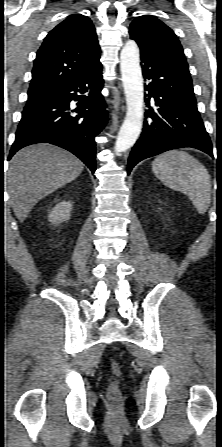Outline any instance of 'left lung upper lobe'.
Listing matches in <instances>:
<instances>
[{
  "instance_id": "1",
  "label": "left lung upper lobe",
  "mask_w": 222,
  "mask_h": 447,
  "mask_svg": "<svg viewBox=\"0 0 222 447\" xmlns=\"http://www.w3.org/2000/svg\"><path fill=\"white\" fill-rule=\"evenodd\" d=\"M131 39L139 47L146 48L176 64L190 75L183 48L174 32L151 15L137 17L130 25Z\"/></svg>"
}]
</instances>
